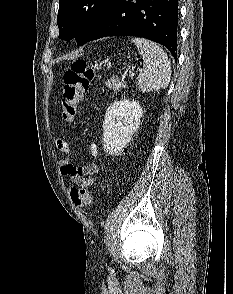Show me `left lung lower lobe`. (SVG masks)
Instances as JSON below:
<instances>
[{
	"mask_svg": "<svg viewBox=\"0 0 233 294\" xmlns=\"http://www.w3.org/2000/svg\"><path fill=\"white\" fill-rule=\"evenodd\" d=\"M178 0H113L86 43L107 36H138L164 45L176 59Z\"/></svg>",
	"mask_w": 233,
	"mask_h": 294,
	"instance_id": "left-lung-lower-lobe-1",
	"label": "left lung lower lobe"
}]
</instances>
